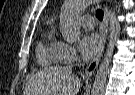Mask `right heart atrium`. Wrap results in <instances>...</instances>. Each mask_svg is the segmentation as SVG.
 Masks as SVG:
<instances>
[{
	"label": "right heart atrium",
	"mask_w": 135,
	"mask_h": 95,
	"mask_svg": "<svg viewBox=\"0 0 135 95\" xmlns=\"http://www.w3.org/2000/svg\"><path fill=\"white\" fill-rule=\"evenodd\" d=\"M77 58V52L75 48L65 42H60L59 46V59L61 62L68 63Z\"/></svg>",
	"instance_id": "obj_1"
}]
</instances>
